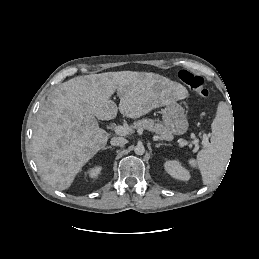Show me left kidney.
<instances>
[{
    "label": "left kidney",
    "instance_id": "obj_1",
    "mask_svg": "<svg viewBox=\"0 0 259 259\" xmlns=\"http://www.w3.org/2000/svg\"><path fill=\"white\" fill-rule=\"evenodd\" d=\"M164 168L173 178L183 181H188L190 179L189 171L185 169L178 160H167L164 163Z\"/></svg>",
    "mask_w": 259,
    "mask_h": 259
}]
</instances>
